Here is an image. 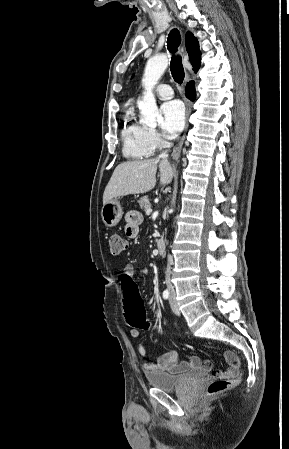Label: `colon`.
Returning a JSON list of instances; mask_svg holds the SVG:
<instances>
[{
  "instance_id": "obj_1",
  "label": "colon",
  "mask_w": 289,
  "mask_h": 449,
  "mask_svg": "<svg viewBox=\"0 0 289 449\" xmlns=\"http://www.w3.org/2000/svg\"><path fill=\"white\" fill-rule=\"evenodd\" d=\"M110 252L113 256H119L127 249L126 240L118 235H111L109 238ZM120 290L123 291L122 303L124 310H127V323L134 329H149L148 322L143 308L141 296H138L136 280L129 275L127 271L120 273ZM214 379L207 387V394L210 396L217 395L235 386L240 376L234 378H225L213 372Z\"/></svg>"
}]
</instances>
